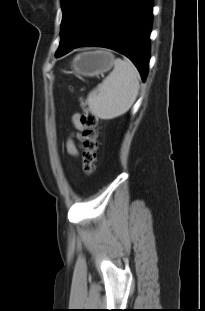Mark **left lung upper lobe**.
<instances>
[{"mask_svg": "<svg viewBox=\"0 0 205 311\" xmlns=\"http://www.w3.org/2000/svg\"><path fill=\"white\" fill-rule=\"evenodd\" d=\"M116 0H61V40L56 54L80 42L105 17Z\"/></svg>", "mask_w": 205, "mask_h": 311, "instance_id": "5c2ea615", "label": "left lung upper lobe"}]
</instances>
